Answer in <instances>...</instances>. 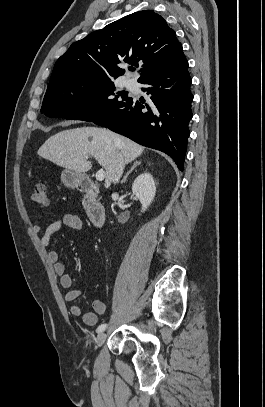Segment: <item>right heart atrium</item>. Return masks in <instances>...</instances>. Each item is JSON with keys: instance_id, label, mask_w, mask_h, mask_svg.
I'll return each instance as SVG.
<instances>
[{"instance_id": "obj_1", "label": "right heart atrium", "mask_w": 265, "mask_h": 407, "mask_svg": "<svg viewBox=\"0 0 265 407\" xmlns=\"http://www.w3.org/2000/svg\"><path fill=\"white\" fill-rule=\"evenodd\" d=\"M100 101V92L94 88L83 90L79 95V105L85 110H91L97 106Z\"/></svg>"}]
</instances>
